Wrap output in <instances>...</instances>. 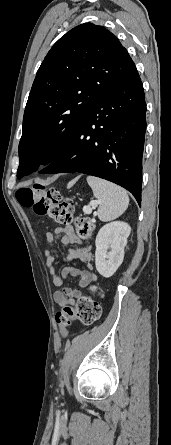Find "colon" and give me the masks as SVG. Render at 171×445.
<instances>
[{"mask_svg":"<svg viewBox=\"0 0 171 445\" xmlns=\"http://www.w3.org/2000/svg\"><path fill=\"white\" fill-rule=\"evenodd\" d=\"M19 204L30 208L37 216L50 217L55 222L72 227L76 236L82 240L91 238L94 231L93 221L87 216L74 215V203L64 198L60 191L45 190L39 187H24L16 194ZM97 292V289H93ZM102 315L99 302L93 295L82 296L75 307L64 306L56 314V322L61 328L67 327L71 320L77 319L83 325L96 323Z\"/></svg>","mask_w":171,"mask_h":445,"instance_id":"colon-1","label":"colon"}]
</instances>
